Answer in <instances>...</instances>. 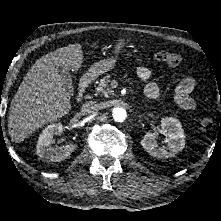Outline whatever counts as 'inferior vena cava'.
Segmentation results:
<instances>
[{"instance_id": "1", "label": "inferior vena cava", "mask_w": 221, "mask_h": 221, "mask_svg": "<svg viewBox=\"0 0 221 221\" xmlns=\"http://www.w3.org/2000/svg\"><path fill=\"white\" fill-rule=\"evenodd\" d=\"M100 110V105L95 101H87L81 107V112L85 115L97 113Z\"/></svg>"}]
</instances>
